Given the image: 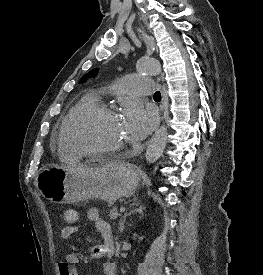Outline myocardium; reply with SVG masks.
Wrapping results in <instances>:
<instances>
[{"mask_svg": "<svg viewBox=\"0 0 263 275\" xmlns=\"http://www.w3.org/2000/svg\"><path fill=\"white\" fill-rule=\"evenodd\" d=\"M108 114V115H116V111L105 104H96L85 111H83L77 118L74 120L69 133L67 135V140L70 145L73 147L74 150L78 152L79 155L82 156H109V155H116L121 153L125 145H120L113 148L108 149H89L81 146L75 138V135L80 128V126L86 122L87 120L94 118L99 115Z\"/></svg>", "mask_w": 263, "mask_h": 275, "instance_id": "f54148a6", "label": "myocardium"}]
</instances>
